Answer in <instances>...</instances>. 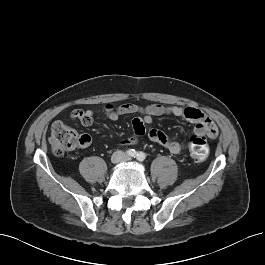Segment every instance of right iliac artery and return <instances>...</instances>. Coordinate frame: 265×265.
I'll return each instance as SVG.
<instances>
[{"label": "right iliac artery", "instance_id": "obj_1", "mask_svg": "<svg viewBox=\"0 0 265 265\" xmlns=\"http://www.w3.org/2000/svg\"><path fill=\"white\" fill-rule=\"evenodd\" d=\"M137 152L134 149H129L127 150V155H129L130 157H137Z\"/></svg>", "mask_w": 265, "mask_h": 265}]
</instances>
